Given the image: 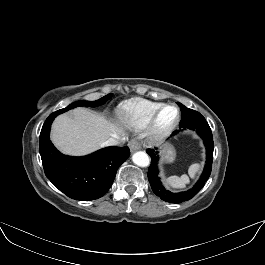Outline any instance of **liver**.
<instances>
[{"mask_svg": "<svg viewBox=\"0 0 265 265\" xmlns=\"http://www.w3.org/2000/svg\"><path fill=\"white\" fill-rule=\"evenodd\" d=\"M124 136L123 128L85 108L58 116L51 130V140L63 153L82 156L102 146L110 137Z\"/></svg>", "mask_w": 265, "mask_h": 265, "instance_id": "1", "label": "liver"}]
</instances>
